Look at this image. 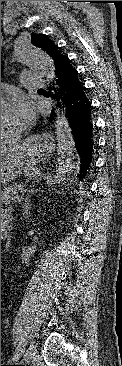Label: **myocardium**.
<instances>
[{
    "mask_svg": "<svg viewBox=\"0 0 122 366\" xmlns=\"http://www.w3.org/2000/svg\"><path fill=\"white\" fill-rule=\"evenodd\" d=\"M8 103H9V100L1 96V107L8 105ZM14 141H15V136L1 138V145H9V144L14 143Z\"/></svg>",
    "mask_w": 122,
    "mask_h": 366,
    "instance_id": "f54148a6",
    "label": "myocardium"
}]
</instances>
